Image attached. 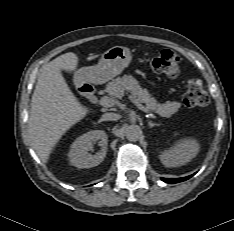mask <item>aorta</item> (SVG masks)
Returning <instances> with one entry per match:
<instances>
[{
	"instance_id": "obj_1",
	"label": "aorta",
	"mask_w": 234,
	"mask_h": 231,
	"mask_svg": "<svg viewBox=\"0 0 234 231\" xmlns=\"http://www.w3.org/2000/svg\"><path fill=\"white\" fill-rule=\"evenodd\" d=\"M142 134L141 128L138 125L132 124L126 127L125 135L130 141H137Z\"/></svg>"
}]
</instances>
